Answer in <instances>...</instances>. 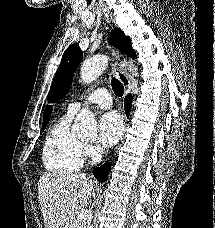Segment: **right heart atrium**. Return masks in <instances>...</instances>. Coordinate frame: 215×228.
<instances>
[{
    "mask_svg": "<svg viewBox=\"0 0 215 228\" xmlns=\"http://www.w3.org/2000/svg\"><path fill=\"white\" fill-rule=\"evenodd\" d=\"M99 153V150L94 145L88 144L83 148V156L87 159L95 158Z\"/></svg>",
    "mask_w": 215,
    "mask_h": 228,
    "instance_id": "right-heart-atrium-1",
    "label": "right heart atrium"
}]
</instances>
